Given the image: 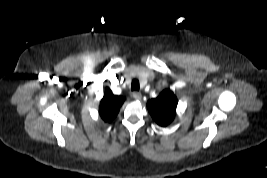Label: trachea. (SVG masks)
<instances>
[{
  "label": "trachea",
  "instance_id": "3493384b",
  "mask_svg": "<svg viewBox=\"0 0 267 178\" xmlns=\"http://www.w3.org/2000/svg\"><path fill=\"white\" fill-rule=\"evenodd\" d=\"M131 90H139V82L138 80L134 79L131 84Z\"/></svg>",
  "mask_w": 267,
  "mask_h": 178
}]
</instances>
